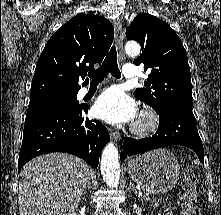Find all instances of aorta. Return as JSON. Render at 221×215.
Segmentation results:
<instances>
[{
    "instance_id": "762f6f07",
    "label": "aorta",
    "mask_w": 221,
    "mask_h": 215,
    "mask_svg": "<svg viewBox=\"0 0 221 215\" xmlns=\"http://www.w3.org/2000/svg\"><path fill=\"white\" fill-rule=\"evenodd\" d=\"M125 51L129 56H137L140 54V46L136 42H128L125 45ZM101 173L107 186L115 187L120 180V163L118 150L116 146L110 142L106 145L101 157Z\"/></svg>"
}]
</instances>
